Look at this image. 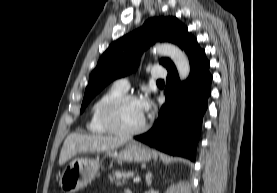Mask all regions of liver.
<instances>
[{
    "label": "liver",
    "instance_id": "liver-1",
    "mask_svg": "<svg viewBox=\"0 0 277 193\" xmlns=\"http://www.w3.org/2000/svg\"><path fill=\"white\" fill-rule=\"evenodd\" d=\"M127 142L125 138L73 133L67 136L59 156L62 166L79 153L109 152Z\"/></svg>",
    "mask_w": 277,
    "mask_h": 193
}]
</instances>
